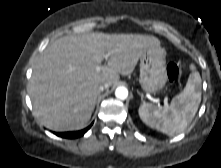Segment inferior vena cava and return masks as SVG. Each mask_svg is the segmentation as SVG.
Returning <instances> with one entry per match:
<instances>
[{"label": "inferior vena cava", "instance_id": "602c4592", "mask_svg": "<svg viewBox=\"0 0 221 168\" xmlns=\"http://www.w3.org/2000/svg\"><path fill=\"white\" fill-rule=\"evenodd\" d=\"M108 84L107 83H104L102 85L99 86V91H103L104 89H107L108 88Z\"/></svg>", "mask_w": 221, "mask_h": 168}]
</instances>
